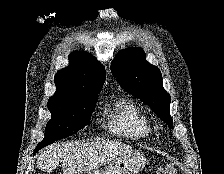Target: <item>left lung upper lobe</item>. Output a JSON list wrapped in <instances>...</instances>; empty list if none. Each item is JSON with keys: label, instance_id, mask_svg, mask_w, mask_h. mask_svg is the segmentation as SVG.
<instances>
[{"label": "left lung upper lobe", "instance_id": "obj_1", "mask_svg": "<svg viewBox=\"0 0 224 174\" xmlns=\"http://www.w3.org/2000/svg\"><path fill=\"white\" fill-rule=\"evenodd\" d=\"M111 71L125 91L144 101L172 128L170 95L163 88L160 70L146 61L143 49L132 47L119 52Z\"/></svg>", "mask_w": 224, "mask_h": 174}]
</instances>
